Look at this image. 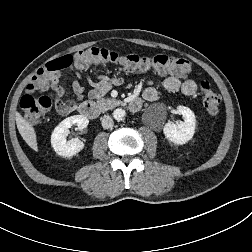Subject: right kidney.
Returning a JSON list of instances; mask_svg holds the SVG:
<instances>
[{
    "mask_svg": "<svg viewBox=\"0 0 252 252\" xmlns=\"http://www.w3.org/2000/svg\"><path fill=\"white\" fill-rule=\"evenodd\" d=\"M89 124L87 117L74 115L64 119L53 131L51 135V145L54 151L63 157H72L84 148V143L78 138L67 141L68 129L76 125L79 130H83Z\"/></svg>",
    "mask_w": 252,
    "mask_h": 252,
    "instance_id": "ca27d5eb",
    "label": "right kidney"
}]
</instances>
